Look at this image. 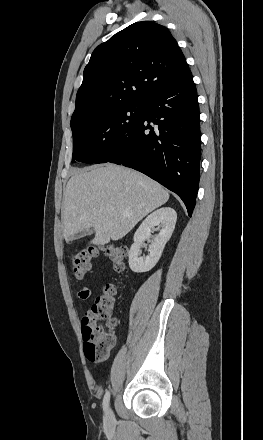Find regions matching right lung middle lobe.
I'll list each match as a JSON object with an SVG mask.
<instances>
[{
  "instance_id": "1",
  "label": "right lung middle lobe",
  "mask_w": 263,
  "mask_h": 440,
  "mask_svg": "<svg viewBox=\"0 0 263 440\" xmlns=\"http://www.w3.org/2000/svg\"><path fill=\"white\" fill-rule=\"evenodd\" d=\"M143 104L129 103L83 117L72 129V162L100 163L110 149L131 134L142 119Z\"/></svg>"
}]
</instances>
